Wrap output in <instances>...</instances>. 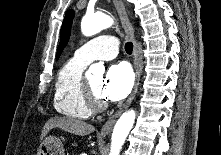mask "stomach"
<instances>
[{
	"label": "stomach",
	"instance_id": "stomach-1",
	"mask_svg": "<svg viewBox=\"0 0 221 155\" xmlns=\"http://www.w3.org/2000/svg\"><path fill=\"white\" fill-rule=\"evenodd\" d=\"M37 155H64V148L61 140L49 136L41 143Z\"/></svg>",
	"mask_w": 221,
	"mask_h": 155
}]
</instances>
